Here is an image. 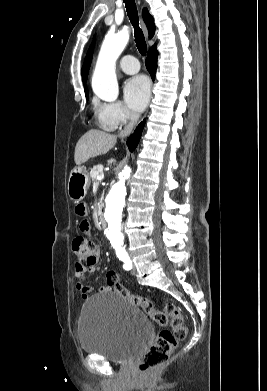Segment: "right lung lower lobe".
I'll list each match as a JSON object with an SVG mask.
<instances>
[{
    "instance_id": "obj_1",
    "label": "right lung lower lobe",
    "mask_w": 267,
    "mask_h": 391,
    "mask_svg": "<svg viewBox=\"0 0 267 391\" xmlns=\"http://www.w3.org/2000/svg\"><path fill=\"white\" fill-rule=\"evenodd\" d=\"M157 55L158 52L156 49L149 50L147 59L145 61L146 67L153 80L155 79V72L157 68ZM144 125H145V119L138 125L134 133L127 140V145L131 152L136 148L139 142Z\"/></svg>"
}]
</instances>
